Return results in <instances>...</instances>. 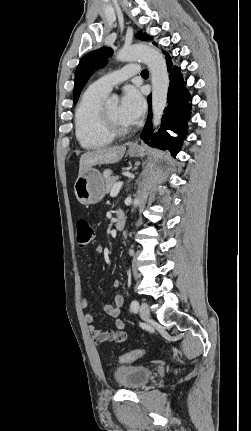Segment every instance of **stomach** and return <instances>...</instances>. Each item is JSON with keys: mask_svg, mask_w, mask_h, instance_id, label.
Instances as JSON below:
<instances>
[{"mask_svg": "<svg viewBox=\"0 0 251 431\" xmlns=\"http://www.w3.org/2000/svg\"><path fill=\"white\" fill-rule=\"evenodd\" d=\"M128 154L132 157H141L145 154V149L142 146L131 147ZM74 192L80 203L96 204L105 195V179L98 169L90 167L75 181Z\"/></svg>", "mask_w": 251, "mask_h": 431, "instance_id": "0dacf381", "label": "stomach"}]
</instances>
